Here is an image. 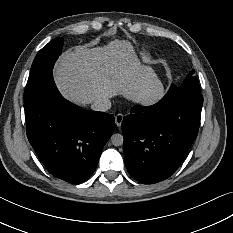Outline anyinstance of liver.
<instances>
[{
  "label": "liver",
  "mask_w": 233,
  "mask_h": 233,
  "mask_svg": "<svg viewBox=\"0 0 233 233\" xmlns=\"http://www.w3.org/2000/svg\"><path fill=\"white\" fill-rule=\"evenodd\" d=\"M53 80L64 99L82 107L117 97L147 107L164 93L159 77L143 67L128 39L114 38L97 46L86 43L62 52L53 67Z\"/></svg>",
  "instance_id": "1"
}]
</instances>
